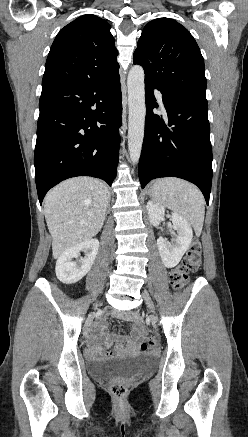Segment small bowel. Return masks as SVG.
<instances>
[{
    "label": "small bowel",
    "instance_id": "small-bowel-1",
    "mask_svg": "<svg viewBox=\"0 0 248 437\" xmlns=\"http://www.w3.org/2000/svg\"><path fill=\"white\" fill-rule=\"evenodd\" d=\"M142 333V329L137 327L133 334L124 340H121L114 334L109 333L106 329L105 323L102 322L99 326L98 332L90 341L87 353L92 358H103L124 350L135 351L137 349V341L142 336ZM114 342H116V344L110 350Z\"/></svg>",
    "mask_w": 248,
    "mask_h": 437
}]
</instances>
